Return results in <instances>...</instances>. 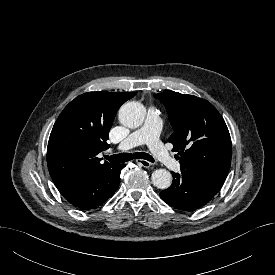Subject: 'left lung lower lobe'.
Segmentation results:
<instances>
[{"mask_svg":"<svg viewBox=\"0 0 275 275\" xmlns=\"http://www.w3.org/2000/svg\"><path fill=\"white\" fill-rule=\"evenodd\" d=\"M173 182L160 197L169 205L181 210H195L207 204L221 189L222 183L181 170L174 173Z\"/></svg>","mask_w":275,"mask_h":275,"instance_id":"left-lung-lower-lobe-1","label":"left lung lower lobe"}]
</instances>
